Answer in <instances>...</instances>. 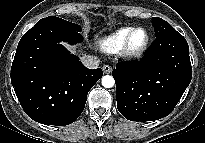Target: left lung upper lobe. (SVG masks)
Listing matches in <instances>:
<instances>
[{"label":"left lung upper lobe","mask_w":205,"mask_h":143,"mask_svg":"<svg viewBox=\"0 0 205 143\" xmlns=\"http://www.w3.org/2000/svg\"><path fill=\"white\" fill-rule=\"evenodd\" d=\"M152 24L155 29L156 37L163 36L165 34L175 31V29L170 24H168L165 20L159 17H153Z\"/></svg>","instance_id":"obj_1"}]
</instances>
